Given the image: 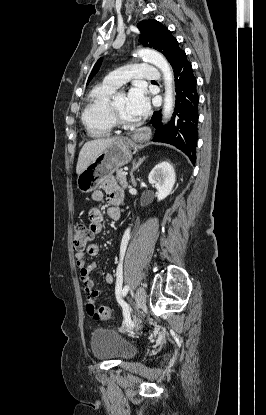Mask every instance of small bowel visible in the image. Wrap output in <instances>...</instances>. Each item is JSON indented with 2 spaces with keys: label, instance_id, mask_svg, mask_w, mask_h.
Here are the masks:
<instances>
[{
  "label": "small bowel",
  "instance_id": "obj_1",
  "mask_svg": "<svg viewBox=\"0 0 266 415\" xmlns=\"http://www.w3.org/2000/svg\"><path fill=\"white\" fill-rule=\"evenodd\" d=\"M106 196L108 207L107 214L114 220L122 217V205L124 203V192L121 187L113 180L107 179L102 185L101 189L92 193L91 198L95 205L89 210V227L93 233H100L103 228V214L100 209V204ZM99 253V247L96 244H89L85 249L75 252V264L80 272V279L83 283L84 292L86 295V308L88 313L95 308V302L100 295V290L94 288V281L91 278V273L95 270L96 264L94 262L86 264V256H96ZM107 284L113 282V276L108 274L106 276Z\"/></svg>",
  "mask_w": 266,
  "mask_h": 415
}]
</instances>
